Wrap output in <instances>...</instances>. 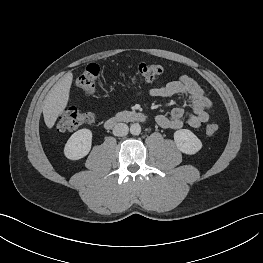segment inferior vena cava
Listing matches in <instances>:
<instances>
[{"label": "inferior vena cava", "instance_id": "1", "mask_svg": "<svg viewBox=\"0 0 263 263\" xmlns=\"http://www.w3.org/2000/svg\"><path fill=\"white\" fill-rule=\"evenodd\" d=\"M128 131L129 127L125 123H118L113 128V134L115 136H126Z\"/></svg>", "mask_w": 263, "mask_h": 263}]
</instances>
